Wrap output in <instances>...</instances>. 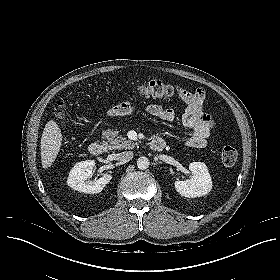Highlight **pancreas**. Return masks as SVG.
I'll use <instances>...</instances> for the list:
<instances>
[{
    "instance_id": "obj_1",
    "label": "pancreas",
    "mask_w": 280,
    "mask_h": 280,
    "mask_svg": "<svg viewBox=\"0 0 280 280\" xmlns=\"http://www.w3.org/2000/svg\"><path fill=\"white\" fill-rule=\"evenodd\" d=\"M103 135L109 142V149H132L136 145V143L126 139V137L118 136V131L106 130Z\"/></svg>"
}]
</instances>
